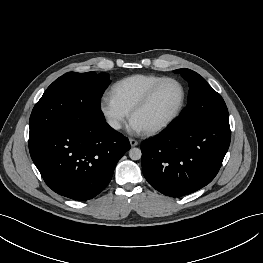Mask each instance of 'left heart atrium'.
Here are the masks:
<instances>
[{
	"label": "left heart atrium",
	"mask_w": 263,
	"mask_h": 263,
	"mask_svg": "<svg viewBox=\"0 0 263 263\" xmlns=\"http://www.w3.org/2000/svg\"><path fill=\"white\" fill-rule=\"evenodd\" d=\"M129 130L131 132H141V131H143L142 127L133 119L129 123Z\"/></svg>",
	"instance_id": "left-heart-atrium-1"
}]
</instances>
